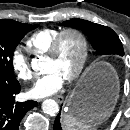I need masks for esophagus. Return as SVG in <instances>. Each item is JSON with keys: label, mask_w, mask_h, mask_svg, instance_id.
Returning a JSON list of instances; mask_svg holds the SVG:
<instances>
[{"label": "esophagus", "mask_w": 130, "mask_h": 130, "mask_svg": "<svg viewBox=\"0 0 130 130\" xmlns=\"http://www.w3.org/2000/svg\"><path fill=\"white\" fill-rule=\"evenodd\" d=\"M54 99H55L56 101H58L59 103H62V102L64 101V97L61 96V95L54 96ZM39 101H41V100H39Z\"/></svg>", "instance_id": "esophagus-1"}]
</instances>
